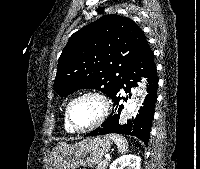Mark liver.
I'll list each match as a JSON object with an SVG mask.
<instances>
[{"label": "liver", "mask_w": 200, "mask_h": 169, "mask_svg": "<svg viewBox=\"0 0 200 169\" xmlns=\"http://www.w3.org/2000/svg\"><path fill=\"white\" fill-rule=\"evenodd\" d=\"M63 145H66V143L63 142V143H60V144H59V146H63Z\"/></svg>", "instance_id": "obj_1"}]
</instances>
